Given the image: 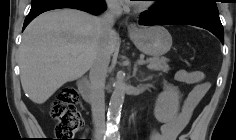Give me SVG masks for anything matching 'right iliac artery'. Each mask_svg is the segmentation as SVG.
<instances>
[{"instance_id":"82829eb1","label":"right iliac artery","mask_w":236,"mask_h":140,"mask_svg":"<svg viewBox=\"0 0 236 140\" xmlns=\"http://www.w3.org/2000/svg\"><path fill=\"white\" fill-rule=\"evenodd\" d=\"M111 139V137L107 136V137H104V140H109Z\"/></svg>"}]
</instances>
